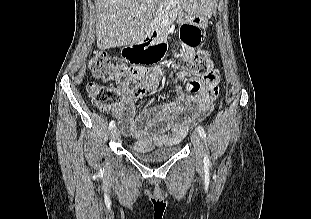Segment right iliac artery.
<instances>
[{
  "mask_svg": "<svg viewBox=\"0 0 311 219\" xmlns=\"http://www.w3.org/2000/svg\"><path fill=\"white\" fill-rule=\"evenodd\" d=\"M114 127H115V121L113 120L109 123V128L112 129Z\"/></svg>",
  "mask_w": 311,
  "mask_h": 219,
  "instance_id": "right-iliac-artery-1",
  "label": "right iliac artery"
}]
</instances>
